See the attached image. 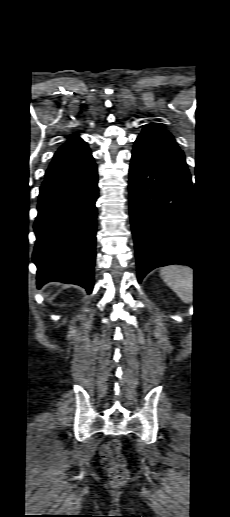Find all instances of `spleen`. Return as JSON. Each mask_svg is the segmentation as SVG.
<instances>
[{
	"mask_svg": "<svg viewBox=\"0 0 230 517\" xmlns=\"http://www.w3.org/2000/svg\"><path fill=\"white\" fill-rule=\"evenodd\" d=\"M160 276L164 282L185 303L193 300V270L179 265L161 269Z\"/></svg>",
	"mask_w": 230,
	"mask_h": 517,
	"instance_id": "1",
	"label": "spleen"
}]
</instances>
